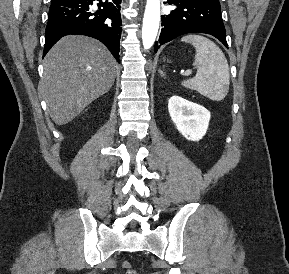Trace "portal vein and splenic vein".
Wrapping results in <instances>:
<instances>
[{
    "instance_id": "1",
    "label": "portal vein and splenic vein",
    "mask_w": 289,
    "mask_h": 274,
    "mask_svg": "<svg viewBox=\"0 0 289 274\" xmlns=\"http://www.w3.org/2000/svg\"><path fill=\"white\" fill-rule=\"evenodd\" d=\"M185 75H186V76H189V75H190V72H186Z\"/></svg>"
}]
</instances>
